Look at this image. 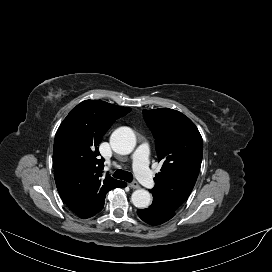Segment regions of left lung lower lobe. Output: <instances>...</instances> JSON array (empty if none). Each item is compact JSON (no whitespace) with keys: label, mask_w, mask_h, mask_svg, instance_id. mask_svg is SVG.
Listing matches in <instances>:
<instances>
[{"label":"left lung lower lobe","mask_w":272,"mask_h":272,"mask_svg":"<svg viewBox=\"0 0 272 272\" xmlns=\"http://www.w3.org/2000/svg\"><path fill=\"white\" fill-rule=\"evenodd\" d=\"M137 214L143 221L150 225H160L170 220L175 215V211L161 202L153 200L149 208L137 210Z\"/></svg>","instance_id":"left-lung-lower-lobe-1"}]
</instances>
